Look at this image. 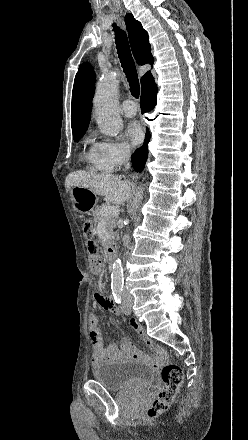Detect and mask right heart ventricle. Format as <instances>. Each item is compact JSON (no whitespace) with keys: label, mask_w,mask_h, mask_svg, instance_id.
I'll use <instances>...</instances> for the list:
<instances>
[{"label":"right heart ventricle","mask_w":248,"mask_h":440,"mask_svg":"<svg viewBox=\"0 0 248 440\" xmlns=\"http://www.w3.org/2000/svg\"><path fill=\"white\" fill-rule=\"evenodd\" d=\"M87 148L83 152V159L86 162L88 168L92 171H107L100 163L96 144L90 139L86 140Z\"/></svg>","instance_id":"1"}]
</instances>
